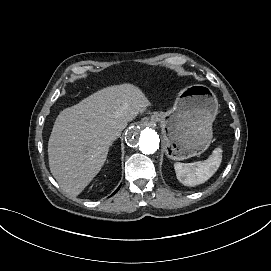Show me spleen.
Instances as JSON below:
<instances>
[{"instance_id": "spleen-1", "label": "spleen", "mask_w": 271, "mask_h": 271, "mask_svg": "<svg viewBox=\"0 0 271 271\" xmlns=\"http://www.w3.org/2000/svg\"><path fill=\"white\" fill-rule=\"evenodd\" d=\"M222 149H214L211 156L204 161L194 163H174V169L177 177H187L194 181L195 185L207 181L219 168L222 161Z\"/></svg>"}]
</instances>
